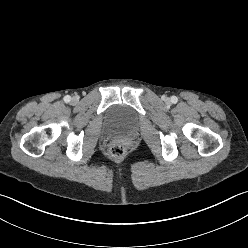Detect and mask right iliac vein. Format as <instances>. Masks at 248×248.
<instances>
[{
	"mask_svg": "<svg viewBox=\"0 0 248 248\" xmlns=\"http://www.w3.org/2000/svg\"><path fill=\"white\" fill-rule=\"evenodd\" d=\"M72 101H73V102H76V101H77V98H76V97H74V98L72 99Z\"/></svg>",
	"mask_w": 248,
	"mask_h": 248,
	"instance_id": "63e3f726",
	"label": "right iliac vein"
}]
</instances>
